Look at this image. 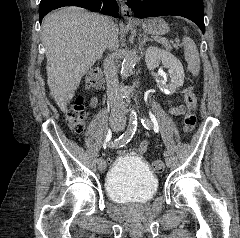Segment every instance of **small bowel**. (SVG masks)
I'll return each instance as SVG.
<instances>
[{
    "mask_svg": "<svg viewBox=\"0 0 240 238\" xmlns=\"http://www.w3.org/2000/svg\"><path fill=\"white\" fill-rule=\"evenodd\" d=\"M96 104H97V100L94 99L92 101V105L95 106ZM195 109H196V107H195ZM169 112H170V114L175 115V116L184 115L188 112V107H186L185 105H182V104H178V105L171 107ZM150 147H151L150 143L143 142L142 144H140L137 152L139 154H148L147 148H150ZM130 152H133V151H130L129 149H119V148L113 150L114 154H129ZM105 160H106V166H113L114 157L107 156ZM102 173L104 174L105 172L103 171Z\"/></svg>",
    "mask_w": 240,
    "mask_h": 238,
    "instance_id": "c3829d8e",
    "label": "small bowel"
}]
</instances>
